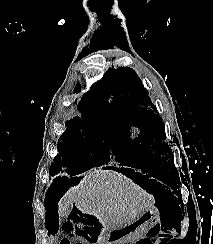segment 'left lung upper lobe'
Returning a JSON list of instances; mask_svg holds the SVG:
<instances>
[{
  "label": "left lung upper lobe",
  "mask_w": 213,
  "mask_h": 244,
  "mask_svg": "<svg viewBox=\"0 0 213 244\" xmlns=\"http://www.w3.org/2000/svg\"><path fill=\"white\" fill-rule=\"evenodd\" d=\"M98 89L116 129L125 139L131 125L141 129L138 138L126 141L139 168L151 170L156 178L179 192L180 180L173 153L162 141L166 139L162 117L155 113L156 107L135 71L129 67L114 69L112 66L98 83Z\"/></svg>",
  "instance_id": "1"
}]
</instances>
